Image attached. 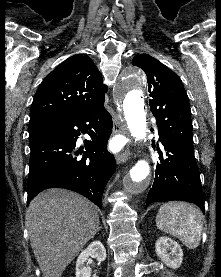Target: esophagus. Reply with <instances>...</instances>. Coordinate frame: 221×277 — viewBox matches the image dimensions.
I'll return each instance as SVG.
<instances>
[{"instance_id": "esophagus-1", "label": "esophagus", "mask_w": 221, "mask_h": 277, "mask_svg": "<svg viewBox=\"0 0 221 277\" xmlns=\"http://www.w3.org/2000/svg\"><path fill=\"white\" fill-rule=\"evenodd\" d=\"M113 134L128 135L126 125L123 124L116 115L113 117ZM130 155V150L127 147L122 153L116 155L117 164L125 163L129 159Z\"/></svg>"}]
</instances>
